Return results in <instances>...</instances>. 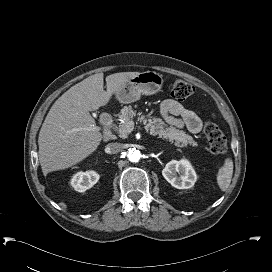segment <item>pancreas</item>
I'll return each instance as SVG.
<instances>
[{"label": "pancreas", "instance_id": "obj_1", "mask_svg": "<svg viewBox=\"0 0 272 272\" xmlns=\"http://www.w3.org/2000/svg\"><path fill=\"white\" fill-rule=\"evenodd\" d=\"M118 117L123 121L118 128L122 137H125L128 134L125 132L127 123L136 118L137 121L144 124L145 129L154 136L174 142L176 146L180 147H186L188 145L192 147L197 146V143L193 140V137L186 134V132L173 126H167L161 118L152 117L151 115H141V113H137L132 106H125L122 108L118 114Z\"/></svg>", "mask_w": 272, "mask_h": 272}]
</instances>
